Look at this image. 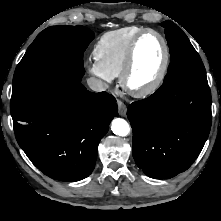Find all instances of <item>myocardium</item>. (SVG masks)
Segmentation results:
<instances>
[{
	"mask_svg": "<svg viewBox=\"0 0 221 221\" xmlns=\"http://www.w3.org/2000/svg\"><path fill=\"white\" fill-rule=\"evenodd\" d=\"M147 34H154L160 39L164 50L163 61L157 76L150 84H148L143 88H132L129 85V77L134 66L136 48L139 41ZM169 63H170V49L165 37L155 29L145 28L142 31H140L129 44L124 65L120 73L121 86L123 87L124 90H126L128 93H130L135 97L149 96L153 94L155 91H157L158 88L162 85L165 76L167 74Z\"/></svg>",
	"mask_w": 221,
	"mask_h": 221,
	"instance_id": "myocardium-1",
	"label": "myocardium"
}]
</instances>
